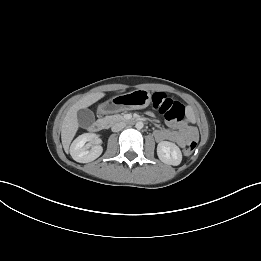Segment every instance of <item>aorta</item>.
<instances>
[{"label":"aorta","instance_id":"obj_1","mask_svg":"<svg viewBox=\"0 0 261 261\" xmlns=\"http://www.w3.org/2000/svg\"><path fill=\"white\" fill-rule=\"evenodd\" d=\"M143 126H144V124H143L142 121H139V122L136 123V128L139 129V130L142 129Z\"/></svg>","mask_w":261,"mask_h":261}]
</instances>
